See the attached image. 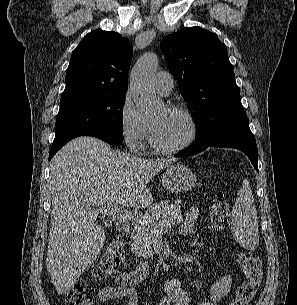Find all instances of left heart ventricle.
Here are the masks:
<instances>
[{
	"label": "left heart ventricle",
	"mask_w": 297,
	"mask_h": 305,
	"mask_svg": "<svg viewBox=\"0 0 297 305\" xmlns=\"http://www.w3.org/2000/svg\"><path fill=\"white\" fill-rule=\"evenodd\" d=\"M156 142L163 147L183 143L190 135V125L182 115L160 109L150 119Z\"/></svg>",
	"instance_id": "b2bd125f"
}]
</instances>
